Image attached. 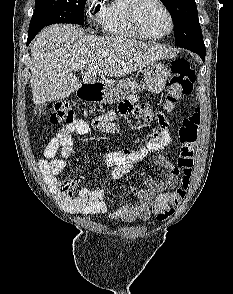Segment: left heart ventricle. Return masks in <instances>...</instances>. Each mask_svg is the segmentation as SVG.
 I'll list each match as a JSON object with an SVG mask.
<instances>
[{"label": "left heart ventricle", "mask_w": 233, "mask_h": 294, "mask_svg": "<svg viewBox=\"0 0 233 294\" xmlns=\"http://www.w3.org/2000/svg\"><path fill=\"white\" fill-rule=\"evenodd\" d=\"M142 28L149 34L159 35L169 28V21L164 10L155 2L147 0L139 11Z\"/></svg>", "instance_id": "1"}]
</instances>
